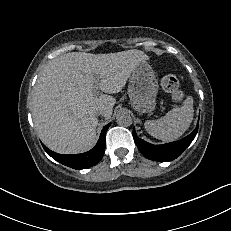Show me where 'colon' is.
Masks as SVG:
<instances>
[{"mask_svg": "<svg viewBox=\"0 0 231 231\" xmlns=\"http://www.w3.org/2000/svg\"><path fill=\"white\" fill-rule=\"evenodd\" d=\"M161 86L163 90L168 93L171 98L176 101L180 102L184 98V94L180 89V83L177 77L173 74H166L161 80Z\"/></svg>", "mask_w": 231, "mask_h": 231, "instance_id": "5ec220e1", "label": "colon"}]
</instances>
